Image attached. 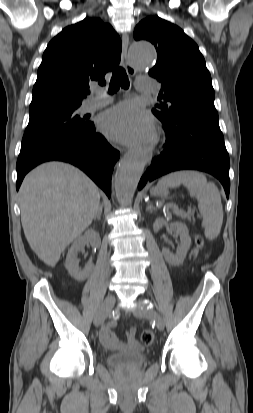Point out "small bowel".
Masks as SVG:
<instances>
[{
    "instance_id": "small-bowel-1",
    "label": "small bowel",
    "mask_w": 253,
    "mask_h": 413,
    "mask_svg": "<svg viewBox=\"0 0 253 413\" xmlns=\"http://www.w3.org/2000/svg\"><path fill=\"white\" fill-rule=\"evenodd\" d=\"M112 325L104 326L99 331V339L104 346L109 349L118 350L124 347V344L112 332ZM136 326L131 327L126 333V344L130 347L136 348Z\"/></svg>"
}]
</instances>
